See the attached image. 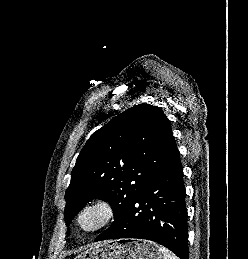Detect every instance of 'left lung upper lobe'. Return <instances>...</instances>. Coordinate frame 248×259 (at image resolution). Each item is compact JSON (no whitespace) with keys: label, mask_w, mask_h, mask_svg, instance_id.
Masks as SVG:
<instances>
[{"label":"left lung upper lobe","mask_w":248,"mask_h":259,"mask_svg":"<svg viewBox=\"0 0 248 259\" xmlns=\"http://www.w3.org/2000/svg\"><path fill=\"white\" fill-rule=\"evenodd\" d=\"M178 152L162 110L139 104L94 132L66 190V225L92 198L111 204L116 222Z\"/></svg>","instance_id":"left-lung-upper-lobe-1"}]
</instances>
